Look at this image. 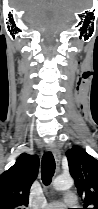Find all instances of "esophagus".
I'll return each instance as SVG.
<instances>
[{
	"label": "esophagus",
	"mask_w": 98,
	"mask_h": 209,
	"mask_svg": "<svg viewBox=\"0 0 98 209\" xmlns=\"http://www.w3.org/2000/svg\"><path fill=\"white\" fill-rule=\"evenodd\" d=\"M47 149L53 153L55 161H56L57 168L59 169L60 168V163H61L60 149L55 145H48Z\"/></svg>",
	"instance_id": "obj_1"
}]
</instances>
